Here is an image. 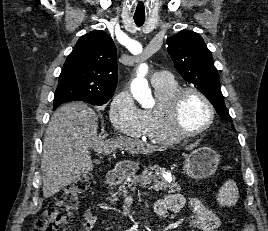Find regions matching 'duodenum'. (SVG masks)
Listing matches in <instances>:
<instances>
[{
  "label": "duodenum",
  "mask_w": 268,
  "mask_h": 231,
  "mask_svg": "<svg viewBox=\"0 0 268 231\" xmlns=\"http://www.w3.org/2000/svg\"><path fill=\"white\" fill-rule=\"evenodd\" d=\"M120 179L121 177L119 171L117 169H113L106 175L104 183L105 185H113L118 183Z\"/></svg>",
  "instance_id": "obj_1"
}]
</instances>
